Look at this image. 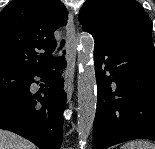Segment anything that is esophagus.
<instances>
[{
	"label": "esophagus",
	"instance_id": "obj_1",
	"mask_svg": "<svg viewBox=\"0 0 155 149\" xmlns=\"http://www.w3.org/2000/svg\"><path fill=\"white\" fill-rule=\"evenodd\" d=\"M67 31V67L65 71L64 88L67 93L68 101L71 100L74 90V72L76 65L77 55V36L74 25V17L72 12L69 11L68 21L66 25Z\"/></svg>",
	"mask_w": 155,
	"mask_h": 149
}]
</instances>
